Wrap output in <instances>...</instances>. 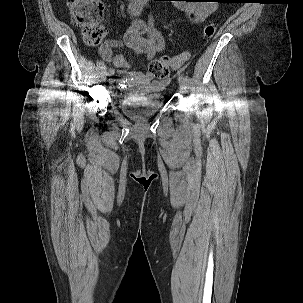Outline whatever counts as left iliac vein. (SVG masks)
I'll return each mask as SVG.
<instances>
[{
  "instance_id": "4c4485c4",
  "label": "left iliac vein",
  "mask_w": 303,
  "mask_h": 303,
  "mask_svg": "<svg viewBox=\"0 0 303 303\" xmlns=\"http://www.w3.org/2000/svg\"><path fill=\"white\" fill-rule=\"evenodd\" d=\"M178 83H179V88H180V90H181L182 92H184L185 89H186V87H187L185 76L180 75V76H179V82H178Z\"/></svg>"
}]
</instances>
